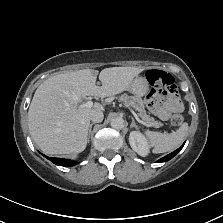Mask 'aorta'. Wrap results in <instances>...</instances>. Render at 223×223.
Masks as SVG:
<instances>
[{
	"instance_id": "762f6f07",
	"label": "aorta",
	"mask_w": 223,
	"mask_h": 223,
	"mask_svg": "<svg viewBox=\"0 0 223 223\" xmlns=\"http://www.w3.org/2000/svg\"><path fill=\"white\" fill-rule=\"evenodd\" d=\"M110 124L114 129H122L124 127V120L122 117H116L111 120Z\"/></svg>"
}]
</instances>
